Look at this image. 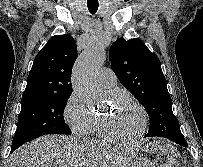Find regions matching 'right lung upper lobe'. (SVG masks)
<instances>
[{
	"mask_svg": "<svg viewBox=\"0 0 203 167\" xmlns=\"http://www.w3.org/2000/svg\"><path fill=\"white\" fill-rule=\"evenodd\" d=\"M75 40L55 35L36 55L22 100L72 94L71 73L77 59Z\"/></svg>",
	"mask_w": 203,
	"mask_h": 167,
	"instance_id": "obj_1",
	"label": "right lung upper lobe"
}]
</instances>
